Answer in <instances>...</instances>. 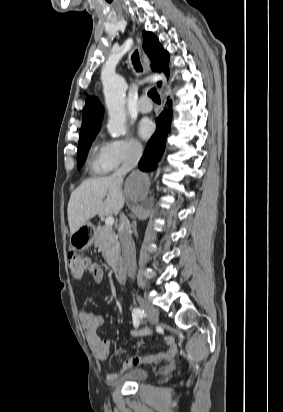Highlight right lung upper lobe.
<instances>
[{
  "label": "right lung upper lobe",
  "mask_w": 283,
  "mask_h": 412,
  "mask_svg": "<svg viewBox=\"0 0 283 412\" xmlns=\"http://www.w3.org/2000/svg\"><path fill=\"white\" fill-rule=\"evenodd\" d=\"M143 48L150 58L152 69L159 72L163 71L166 76H169V54L163 50L158 38L151 32L143 31ZM158 86H161V82H158ZM103 113V107L99 100L96 97L87 96L83 109L80 137L99 131Z\"/></svg>",
  "instance_id": "right-lung-upper-lobe-1"
}]
</instances>
